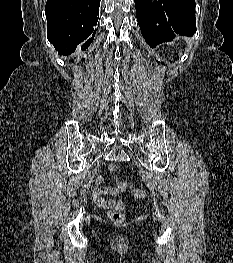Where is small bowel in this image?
Returning <instances> with one entry per match:
<instances>
[{
    "label": "small bowel",
    "mask_w": 233,
    "mask_h": 263,
    "mask_svg": "<svg viewBox=\"0 0 233 263\" xmlns=\"http://www.w3.org/2000/svg\"><path fill=\"white\" fill-rule=\"evenodd\" d=\"M95 183L96 188L93 191V197L100 207L107 210H122L125 208L124 202L108 198V196L117 194V188L105 187L103 185L104 178L102 176H98Z\"/></svg>",
    "instance_id": "obj_1"
}]
</instances>
